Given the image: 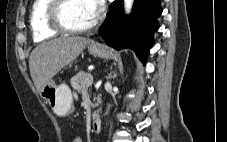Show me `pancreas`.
<instances>
[{"instance_id":"cf45deb5","label":"pancreas","mask_w":227,"mask_h":142,"mask_svg":"<svg viewBox=\"0 0 227 142\" xmlns=\"http://www.w3.org/2000/svg\"><path fill=\"white\" fill-rule=\"evenodd\" d=\"M88 74L89 73L80 71L75 76H73L70 80L71 86L81 94H84L85 90L88 88V84H87ZM100 103H101V100L99 97H97L96 102L93 106L94 107L99 106Z\"/></svg>"}]
</instances>
